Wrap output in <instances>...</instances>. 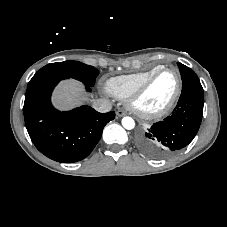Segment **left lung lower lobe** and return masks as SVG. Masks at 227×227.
Wrapping results in <instances>:
<instances>
[{
    "label": "left lung lower lobe",
    "mask_w": 227,
    "mask_h": 227,
    "mask_svg": "<svg viewBox=\"0 0 227 227\" xmlns=\"http://www.w3.org/2000/svg\"><path fill=\"white\" fill-rule=\"evenodd\" d=\"M203 98L204 93L201 91H182L171 116L138 134V148L147 156L163 158L187 146L200 127Z\"/></svg>",
    "instance_id": "0a47b994"
}]
</instances>
